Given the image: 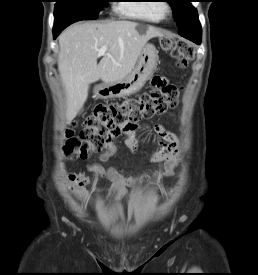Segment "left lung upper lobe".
Here are the masks:
<instances>
[{
	"label": "left lung upper lobe",
	"mask_w": 258,
	"mask_h": 275,
	"mask_svg": "<svg viewBox=\"0 0 258 275\" xmlns=\"http://www.w3.org/2000/svg\"><path fill=\"white\" fill-rule=\"evenodd\" d=\"M173 8L179 30L194 24L198 20L197 11L191 6V0H167Z\"/></svg>",
	"instance_id": "5c2ea615"
}]
</instances>
